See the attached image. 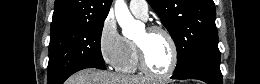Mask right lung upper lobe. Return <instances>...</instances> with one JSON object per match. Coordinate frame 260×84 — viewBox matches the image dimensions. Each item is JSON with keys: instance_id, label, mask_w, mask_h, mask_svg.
Masks as SVG:
<instances>
[{"instance_id": "1", "label": "right lung upper lobe", "mask_w": 260, "mask_h": 84, "mask_svg": "<svg viewBox=\"0 0 260 84\" xmlns=\"http://www.w3.org/2000/svg\"><path fill=\"white\" fill-rule=\"evenodd\" d=\"M112 0H56L51 33L86 21L105 20Z\"/></svg>"}]
</instances>
